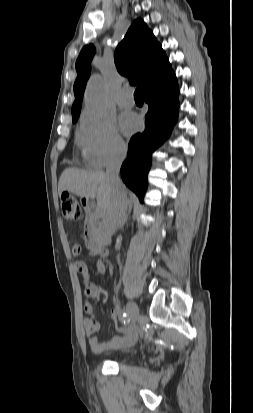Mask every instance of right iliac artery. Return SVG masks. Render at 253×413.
<instances>
[{"instance_id":"obj_1","label":"right iliac artery","mask_w":253,"mask_h":413,"mask_svg":"<svg viewBox=\"0 0 253 413\" xmlns=\"http://www.w3.org/2000/svg\"><path fill=\"white\" fill-rule=\"evenodd\" d=\"M121 319L124 321V323L129 321V319L127 318V313L125 311H122Z\"/></svg>"}]
</instances>
